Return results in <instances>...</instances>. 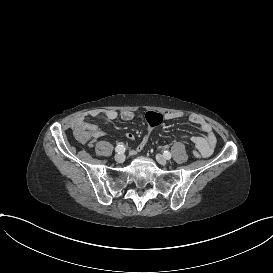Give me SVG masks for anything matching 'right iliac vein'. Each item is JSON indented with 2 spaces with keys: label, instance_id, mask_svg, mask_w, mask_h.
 Segmentation results:
<instances>
[{
  "label": "right iliac vein",
  "instance_id": "1",
  "mask_svg": "<svg viewBox=\"0 0 273 273\" xmlns=\"http://www.w3.org/2000/svg\"><path fill=\"white\" fill-rule=\"evenodd\" d=\"M115 161H117L118 163H123L125 161V156L123 154H116L114 157Z\"/></svg>",
  "mask_w": 273,
  "mask_h": 273
}]
</instances>
